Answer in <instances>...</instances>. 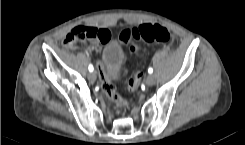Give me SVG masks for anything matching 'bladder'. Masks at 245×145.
Listing matches in <instances>:
<instances>
[{
    "label": "bladder",
    "instance_id": "obj_1",
    "mask_svg": "<svg viewBox=\"0 0 245 145\" xmlns=\"http://www.w3.org/2000/svg\"><path fill=\"white\" fill-rule=\"evenodd\" d=\"M125 53L120 42H108L102 51V62L104 69L113 82L122 77Z\"/></svg>",
    "mask_w": 245,
    "mask_h": 145
}]
</instances>
